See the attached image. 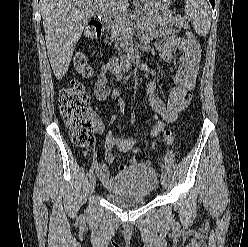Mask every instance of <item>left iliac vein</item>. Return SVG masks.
<instances>
[{
  "instance_id": "1",
  "label": "left iliac vein",
  "mask_w": 248,
  "mask_h": 247,
  "mask_svg": "<svg viewBox=\"0 0 248 247\" xmlns=\"http://www.w3.org/2000/svg\"><path fill=\"white\" fill-rule=\"evenodd\" d=\"M161 184L164 188L168 187V176L165 173L161 174Z\"/></svg>"
}]
</instances>
